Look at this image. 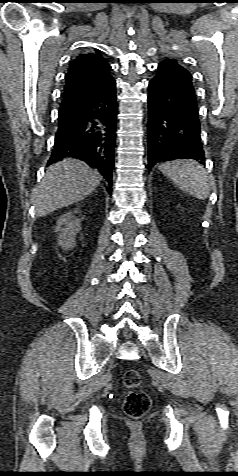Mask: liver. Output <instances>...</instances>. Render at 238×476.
Listing matches in <instances>:
<instances>
[{
  "label": "liver",
  "instance_id": "obj_1",
  "mask_svg": "<svg viewBox=\"0 0 238 476\" xmlns=\"http://www.w3.org/2000/svg\"><path fill=\"white\" fill-rule=\"evenodd\" d=\"M102 176L85 162L66 158L48 167L33 193L38 217L83 200L100 184Z\"/></svg>",
  "mask_w": 238,
  "mask_h": 476
}]
</instances>
